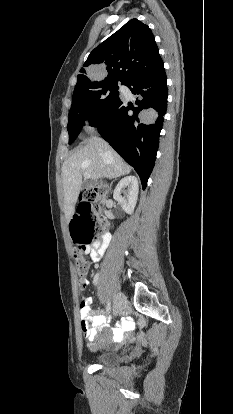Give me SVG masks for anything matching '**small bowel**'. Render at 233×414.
<instances>
[{"mask_svg":"<svg viewBox=\"0 0 233 414\" xmlns=\"http://www.w3.org/2000/svg\"><path fill=\"white\" fill-rule=\"evenodd\" d=\"M109 244V234L104 233L102 237L89 245L85 253L88 254L93 262H98L105 254ZM84 286H92V278L87 277L85 273H80ZM93 300L91 297L84 296L80 302V318L81 327L84 339L89 343L91 347H95V340L97 336L108 327V315L100 312L99 308H93ZM134 324L129 319H124L120 325L112 330L111 338L115 344L122 343L127 339V334L133 329Z\"/></svg>","mask_w":233,"mask_h":414,"instance_id":"1","label":"small bowel"}]
</instances>
